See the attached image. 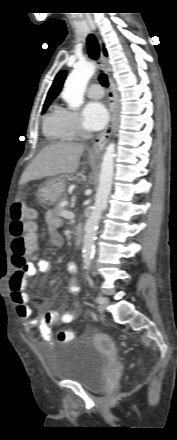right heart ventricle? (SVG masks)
<instances>
[{"instance_id":"e07e8e85","label":"right heart ventricle","mask_w":177,"mask_h":440,"mask_svg":"<svg viewBox=\"0 0 177 440\" xmlns=\"http://www.w3.org/2000/svg\"><path fill=\"white\" fill-rule=\"evenodd\" d=\"M43 133L52 142H60L69 139L65 133L60 109L53 106L43 119Z\"/></svg>"}]
</instances>
